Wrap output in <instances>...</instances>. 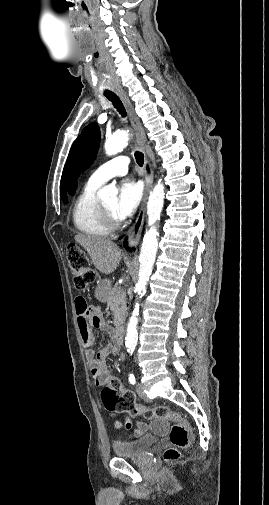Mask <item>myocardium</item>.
<instances>
[{"instance_id": "f54148a6", "label": "myocardium", "mask_w": 269, "mask_h": 505, "mask_svg": "<svg viewBox=\"0 0 269 505\" xmlns=\"http://www.w3.org/2000/svg\"><path fill=\"white\" fill-rule=\"evenodd\" d=\"M100 207L104 220L109 229H117L120 226V220L115 215H113L103 204H100Z\"/></svg>"}]
</instances>
